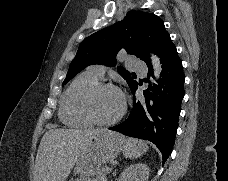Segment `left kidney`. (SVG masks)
I'll return each mask as SVG.
<instances>
[{"label":"left kidney","instance_id":"obj_1","mask_svg":"<svg viewBox=\"0 0 228 181\" xmlns=\"http://www.w3.org/2000/svg\"><path fill=\"white\" fill-rule=\"evenodd\" d=\"M150 169L147 165L137 163L126 167L120 175V181H148Z\"/></svg>","mask_w":228,"mask_h":181}]
</instances>
